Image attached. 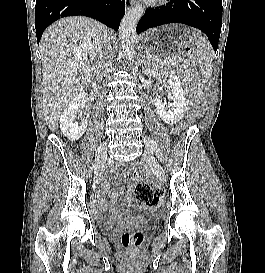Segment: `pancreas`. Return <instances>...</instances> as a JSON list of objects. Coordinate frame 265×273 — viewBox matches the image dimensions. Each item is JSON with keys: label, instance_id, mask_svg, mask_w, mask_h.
I'll list each match as a JSON object with an SVG mask.
<instances>
[{"label": "pancreas", "instance_id": "1", "mask_svg": "<svg viewBox=\"0 0 265 273\" xmlns=\"http://www.w3.org/2000/svg\"><path fill=\"white\" fill-rule=\"evenodd\" d=\"M152 62H154V63H161V64H163V65H174V64H176L178 61L175 60V59H173V58H171V57H165V58L162 60V59H160L159 57L154 56Z\"/></svg>", "mask_w": 265, "mask_h": 273}]
</instances>
